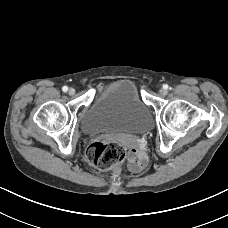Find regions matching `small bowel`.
<instances>
[{
	"instance_id": "obj_1",
	"label": "small bowel",
	"mask_w": 228,
	"mask_h": 228,
	"mask_svg": "<svg viewBox=\"0 0 228 228\" xmlns=\"http://www.w3.org/2000/svg\"><path fill=\"white\" fill-rule=\"evenodd\" d=\"M148 163L147 155L137 149H132L128 156V167L132 172H140L146 168Z\"/></svg>"
}]
</instances>
